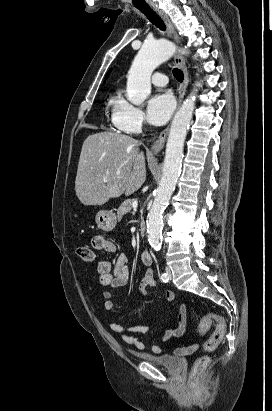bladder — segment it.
<instances>
[{
  "label": "bladder",
  "instance_id": "31cf9c89",
  "mask_svg": "<svg viewBox=\"0 0 272 411\" xmlns=\"http://www.w3.org/2000/svg\"><path fill=\"white\" fill-rule=\"evenodd\" d=\"M140 357L160 368L170 372H177L182 368L183 359L179 356L168 354H142Z\"/></svg>",
  "mask_w": 272,
  "mask_h": 411
}]
</instances>
